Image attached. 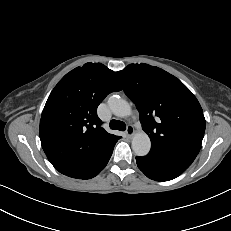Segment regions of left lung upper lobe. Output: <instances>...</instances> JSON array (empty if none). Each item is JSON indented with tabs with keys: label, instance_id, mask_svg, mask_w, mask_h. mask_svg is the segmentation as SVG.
<instances>
[{
	"label": "left lung upper lobe",
	"instance_id": "left-lung-upper-lobe-1",
	"mask_svg": "<svg viewBox=\"0 0 231 231\" xmlns=\"http://www.w3.org/2000/svg\"><path fill=\"white\" fill-rule=\"evenodd\" d=\"M116 75L139 111L151 151L195 159L206 122L193 93L175 76L145 63L130 64Z\"/></svg>",
	"mask_w": 231,
	"mask_h": 231
}]
</instances>
